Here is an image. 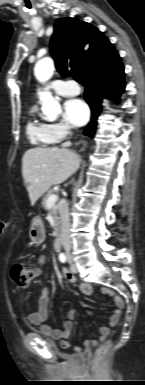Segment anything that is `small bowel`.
<instances>
[{
  "mask_svg": "<svg viewBox=\"0 0 145 385\" xmlns=\"http://www.w3.org/2000/svg\"><path fill=\"white\" fill-rule=\"evenodd\" d=\"M45 262H46L45 256L40 255L38 258V267H36L34 271L35 278L39 277L42 274L41 267L45 264ZM62 275L70 283H74L76 281L75 275H73L66 268H62ZM78 291L80 294L84 296H90L92 294V287L90 284L82 283L78 286ZM102 292L113 298L117 309L114 310L111 316L109 317L108 325L103 326L101 328L100 340H104L110 335L111 328L118 323L121 317V309L124 307L123 299L113 289L104 287L102 288ZM49 303H50L49 289L44 288L38 300L37 310L35 312L28 313L27 319L31 324L39 326L42 334L49 336L53 339L60 340L61 346L63 348H68L70 347V344L67 341V338L69 337V335L71 334L74 328V319L76 317L77 310L69 311L67 319L64 322L63 329H54L45 324V321L48 317ZM87 313L89 316H92V317L95 316V314L90 310H87ZM96 344H97L96 340H86L83 346H80V345L74 346V350L77 353H82L84 349H88L92 346H95Z\"/></svg>",
  "mask_w": 145,
  "mask_h": 385,
  "instance_id": "c3829d8e",
  "label": "small bowel"
}]
</instances>
